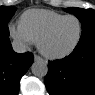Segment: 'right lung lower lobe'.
Instances as JSON below:
<instances>
[{"instance_id":"1","label":"right lung lower lobe","mask_w":95,"mask_h":95,"mask_svg":"<svg viewBox=\"0 0 95 95\" xmlns=\"http://www.w3.org/2000/svg\"><path fill=\"white\" fill-rule=\"evenodd\" d=\"M8 36L0 34V95H17L20 79L34 58L28 52H14Z\"/></svg>"}]
</instances>
